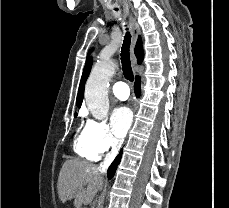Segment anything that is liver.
I'll list each match as a JSON object with an SVG mask.
<instances>
[{
	"instance_id": "obj_1",
	"label": "liver",
	"mask_w": 229,
	"mask_h": 208,
	"mask_svg": "<svg viewBox=\"0 0 229 208\" xmlns=\"http://www.w3.org/2000/svg\"><path fill=\"white\" fill-rule=\"evenodd\" d=\"M103 184L104 178L94 164L81 162L80 158L66 160L58 178L59 198L63 204L74 198L75 208H81L92 202Z\"/></svg>"
}]
</instances>
